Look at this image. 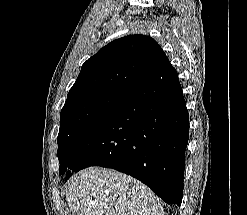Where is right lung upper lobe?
I'll use <instances>...</instances> for the list:
<instances>
[{
    "mask_svg": "<svg viewBox=\"0 0 247 215\" xmlns=\"http://www.w3.org/2000/svg\"><path fill=\"white\" fill-rule=\"evenodd\" d=\"M168 58L160 45L145 35H129L101 48L82 66L70 92L84 89L133 90Z\"/></svg>",
    "mask_w": 247,
    "mask_h": 215,
    "instance_id": "cb5924a9",
    "label": "right lung upper lobe"
}]
</instances>
